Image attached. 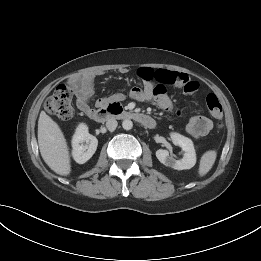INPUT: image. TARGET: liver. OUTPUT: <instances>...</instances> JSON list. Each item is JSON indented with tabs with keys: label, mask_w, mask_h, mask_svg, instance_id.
I'll use <instances>...</instances> for the list:
<instances>
[{
	"label": "liver",
	"mask_w": 261,
	"mask_h": 261,
	"mask_svg": "<svg viewBox=\"0 0 261 261\" xmlns=\"http://www.w3.org/2000/svg\"><path fill=\"white\" fill-rule=\"evenodd\" d=\"M38 144L45 163L57 174L71 172L70 155L66 139L58 124L44 111L38 120Z\"/></svg>",
	"instance_id": "liver-1"
}]
</instances>
